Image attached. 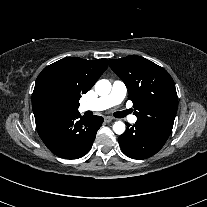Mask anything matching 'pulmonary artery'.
<instances>
[{
    "instance_id": "1",
    "label": "pulmonary artery",
    "mask_w": 207,
    "mask_h": 207,
    "mask_svg": "<svg viewBox=\"0 0 207 207\" xmlns=\"http://www.w3.org/2000/svg\"><path fill=\"white\" fill-rule=\"evenodd\" d=\"M126 95V86L120 81L116 80L112 84L111 92L108 95L99 97L93 101L83 103L79 107L80 112L85 111H102L108 109L114 105H119ZM122 113L124 116H127L129 122L135 123L137 121V117L134 115H127V111L125 108H122Z\"/></svg>"
}]
</instances>
